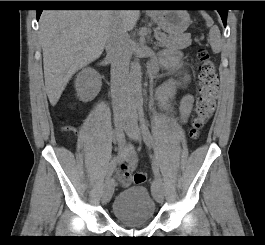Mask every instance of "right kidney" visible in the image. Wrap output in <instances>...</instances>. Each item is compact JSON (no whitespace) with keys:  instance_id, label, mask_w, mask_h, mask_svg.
I'll return each mask as SVG.
<instances>
[{"instance_id":"right-kidney-1","label":"right kidney","mask_w":265,"mask_h":245,"mask_svg":"<svg viewBox=\"0 0 265 245\" xmlns=\"http://www.w3.org/2000/svg\"><path fill=\"white\" fill-rule=\"evenodd\" d=\"M102 80L99 73L91 67L83 68L75 79V88L80 100H93L100 92Z\"/></svg>"}]
</instances>
